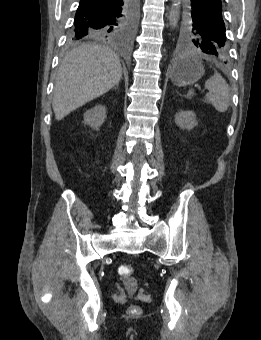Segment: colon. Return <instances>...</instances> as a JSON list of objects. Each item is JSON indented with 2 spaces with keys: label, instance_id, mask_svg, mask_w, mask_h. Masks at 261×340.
Wrapping results in <instances>:
<instances>
[{
  "label": "colon",
  "instance_id": "colon-1",
  "mask_svg": "<svg viewBox=\"0 0 261 340\" xmlns=\"http://www.w3.org/2000/svg\"><path fill=\"white\" fill-rule=\"evenodd\" d=\"M118 274L123 281L131 284L134 275V269L129 264H122L118 267ZM128 312L130 314H139L141 312V308L138 305H131L128 308Z\"/></svg>",
  "mask_w": 261,
  "mask_h": 340
}]
</instances>
